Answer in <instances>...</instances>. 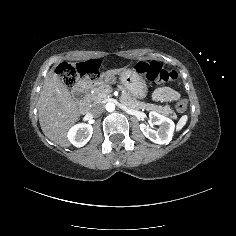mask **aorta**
<instances>
[{"label":"aorta","mask_w":236,"mask_h":236,"mask_svg":"<svg viewBox=\"0 0 236 236\" xmlns=\"http://www.w3.org/2000/svg\"><path fill=\"white\" fill-rule=\"evenodd\" d=\"M105 108L108 112H113L115 110V104L112 102H108Z\"/></svg>","instance_id":"1"}]
</instances>
